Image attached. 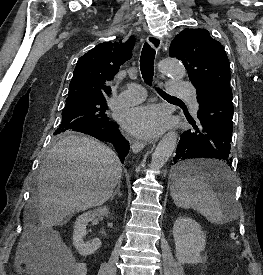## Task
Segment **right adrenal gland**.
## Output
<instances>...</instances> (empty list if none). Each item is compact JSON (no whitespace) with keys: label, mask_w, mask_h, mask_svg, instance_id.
Instances as JSON below:
<instances>
[{"label":"right adrenal gland","mask_w":263,"mask_h":275,"mask_svg":"<svg viewBox=\"0 0 263 275\" xmlns=\"http://www.w3.org/2000/svg\"><path fill=\"white\" fill-rule=\"evenodd\" d=\"M120 183H121V181L118 183L117 189L115 190V192H114L113 195L111 196V200H113L114 197H115L116 195L121 196V192H120Z\"/></svg>","instance_id":"right-adrenal-gland-1"}]
</instances>
